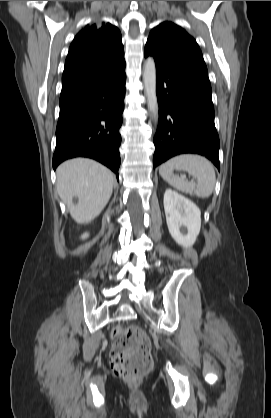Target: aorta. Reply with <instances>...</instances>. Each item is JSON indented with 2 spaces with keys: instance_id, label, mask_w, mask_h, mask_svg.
<instances>
[{
  "instance_id": "aorta-1",
  "label": "aorta",
  "mask_w": 271,
  "mask_h": 418,
  "mask_svg": "<svg viewBox=\"0 0 271 418\" xmlns=\"http://www.w3.org/2000/svg\"><path fill=\"white\" fill-rule=\"evenodd\" d=\"M144 92L147 105L155 122L158 121L159 106L156 95V65L152 57H148L143 69Z\"/></svg>"
}]
</instances>
